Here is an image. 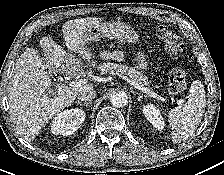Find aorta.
<instances>
[{
    "mask_svg": "<svg viewBox=\"0 0 224 175\" xmlns=\"http://www.w3.org/2000/svg\"><path fill=\"white\" fill-rule=\"evenodd\" d=\"M110 102L114 107H124L128 103V96L124 91H117L111 95Z\"/></svg>",
    "mask_w": 224,
    "mask_h": 175,
    "instance_id": "aorta-1",
    "label": "aorta"
}]
</instances>
